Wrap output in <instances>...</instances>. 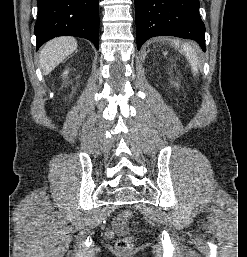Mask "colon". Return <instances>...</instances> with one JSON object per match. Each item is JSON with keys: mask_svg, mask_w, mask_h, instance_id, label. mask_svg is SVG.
<instances>
[{"mask_svg": "<svg viewBox=\"0 0 247 257\" xmlns=\"http://www.w3.org/2000/svg\"><path fill=\"white\" fill-rule=\"evenodd\" d=\"M134 218V214L131 210L127 209L122 213V219L125 221H131ZM133 229L136 228L135 224L132 225ZM134 243V238L132 236H125L117 240L116 249L119 252H128Z\"/></svg>", "mask_w": 247, "mask_h": 257, "instance_id": "5ec220e1", "label": "colon"}]
</instances>
